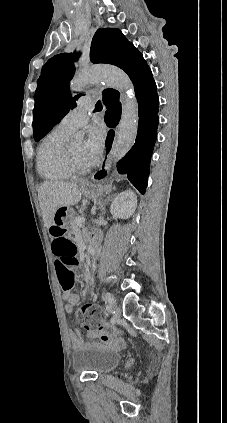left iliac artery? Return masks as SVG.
Wrapping results in <instances>:
<instances>
[{
  "mask_svg": "<svg viewBox=\"0 0 227 423\" xmlns=\"http://www.w3.org/2000/svg\"><path fill=\"white\" fill-rule=\"evenodd\" d=\"M102 299L105 301L106 304H108L107 309L111 310V305L115 302L114 297L111 293H106Z\"/></svg>",
  "mask_w": 227,
  "mask_h": 423,
  "instance_id": "1",
  "label": "left iliac artery"
}]
</instances>
